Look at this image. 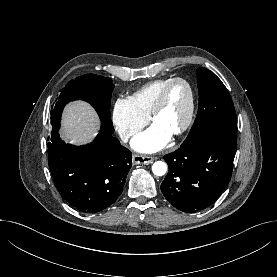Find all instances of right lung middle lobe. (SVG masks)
Instances as JSON below:
<instances>
[{"mask_svg": "<svg viewBox=\"0 0 277 277\" xmlns=\"http://www.w3.org/2000/svg\"><path fill=\"white\" fill-rule=\"evenodd\" d=\"M114 85L112 80L103 76L87 74L71 80L62 90L51 116L63 110L72 100H84L97 111L102 122L112 124L110 118V101Z\"/></svg>", "mask_w": 277, "mask_h": 277, "instance_id": "1", "label": "right lung middle lobe"}]
</instances>
